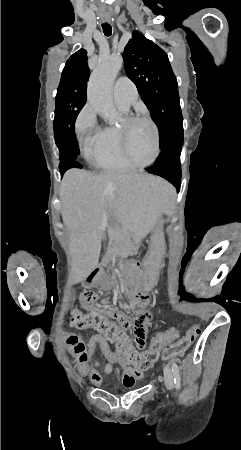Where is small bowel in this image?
<instances>
[{
  "label": "small bowel",
  "mask_w": 241,
  "mask_h": 450,
  "mask_svg": "<svg viewBox=\"0 0 241 450\" xmlns=\"http://www.w3.org/2000/svg\"><path fill=\"white\" fill-rule=\"evenodd\" d=\"M96 285L86 284V289H91V287ZM84 291L81 296V303L84 308L90 311H102L103 316H107V324H118V333H125V329L128 328L129 323L125 318H129L130 314L135 318L134 325V343L136 347H146V330L145 323L149 322V317L152 313L149 310L142 309V307H149V298H128L127 305L131 308V313L129 309L117 310L113 307L104 306L103 308H96L95 304L99 299L96 293L91 291ZM146 317V318H145ZM79 328L93 327L94 325H75ZM105 333H98L94 335L88 344H84L80 338L76 335H71L68 338V343L72 347V350L76 356V361L80 365L82 372H89L90 379L97 383L100 374L95 367L98 366V362H94L95 367H90L89 363L93 361V355L97 347L100 348L103 355L109 361V364L105 367L106 372L110 373L112 371V366L117 364L123 370V385L125 388L131 389L135 385L136 379H142L144 377L143 372L137 369L130 368V361H122L121 356H110L112 354V349L108 346V342L104 339ZM131 342V340H130ZM134 346V347H135Z\"/></svg>",
  "instance_id": "obj_1"
}]
</instances>
